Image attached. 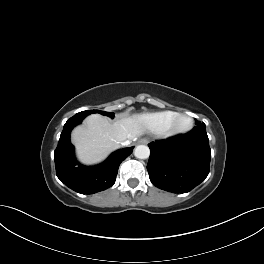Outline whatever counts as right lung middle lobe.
Here are the masks:
<instances>
[{"label": "right lung middle lobe", "instance_id": "right-lung-middle-lobe-1", "mask_svg": "<svg viewBox=\"0 0 264 264\" xmlns=\"http://www.w3.org/2000/svg\"><path fill=\"white\" fill-rule=\"evenodd\" d=\"M92 113H100V114H102V115H104V116H108V117H111V118L114 117V113H112V112L100 111V110H87V111H82V112L77 113L76 116H78V117H79V116H84V117H86L87 115L92 114Z\"/></svg>", "mask_w": 264, "mask_h": 264}]
</instances>
